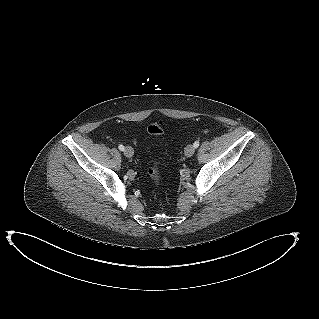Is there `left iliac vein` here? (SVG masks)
I'll return each instance as SVG.
<instances>
[{"label": "left iliac vein", "instance_id": "obj_1", "mask_svg": "<svg viewBox=\"0 0 319 319\" xmlns=\"http://www.w3.org/2000/svg\"><path fill=\"white\" fill-rule=\"evenodd\" d=\"M195 152V147L193 145H188L186 148H185V155L187 157H191Z\"/></svg>", "mask_w": 319, "mask_h": 319}]
</instances>
